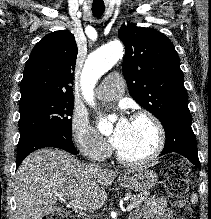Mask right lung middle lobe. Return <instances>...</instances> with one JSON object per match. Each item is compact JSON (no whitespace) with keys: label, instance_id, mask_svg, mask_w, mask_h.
<instances>
[{"label":"right lung middle lobe","instance_id":"right-lung-middle-lobe-1","mask_svg":"<svg viewBox=\"0 0 211 219\" xmlns=\"http://www.w3.org/2000/svg\"><path fill=\"white\" fill-rule=\"evenodd\" d=\"M20 139L39 132L72 137L73 99L36 97L19 102Z\"/></svg>","mask_w":211,"mask_h":219}]
</instances>
